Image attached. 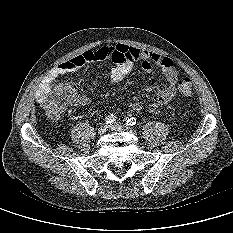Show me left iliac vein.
<instances>
[{"mask_svg":"<svg viewBox=\"0 0 233 233\" xmlns=\"http://www.w3.org/2000/svg\"><path fill=\"white\" fill-rule=\"evenodd\" d=\"M110 128L113 129L114 131H132L131 128L120 123H115L113 125H110Z\"/></svg>","mask_w":233,"mask_h":233,"instance_id":"left-iliac-vein-1","label":"left iliac vein"}]
</instances>
